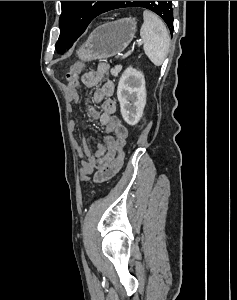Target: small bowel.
I'll return each instance as SVG.
<instances>
[{"mask_svg": "<svg viewBox=\"0 0 237 300\" xmlns=\"http://www.w3.org/2000/svg\"><path fill=\"white\" fill-rule=\"evenodd\" d=\"M111 66L107 62L100 63L97 68L83 75L82 82L87 87H94L102 82V85L94 92L92 101L101 106V110L94 108L85 99V106L92 118L106 128L104 143L97 142L94 152L88 147L87 140L83 139L82 146L77 148L81 159V174L95 173V181L103 182L112 178L121 168L123 163V149L125 146L128 130L124 124L114 115L115 102L110 99L114 92V83L108 79ZM76 87L66 88L70 101L78 103L80 96ZM74 123L71 122V127Z\"/></svg>", "mask_w": 237, "mask_h": 300, "instance_id": "small-bowel-1", "label": "small bowel"}]
</instances>
